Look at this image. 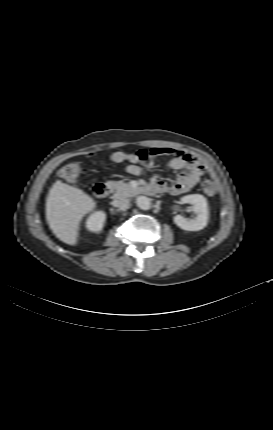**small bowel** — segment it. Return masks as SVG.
<instances>
[{
    "mask_svg": "<svg viewBox=\"0 0 273 430\" xmlns=\"http://www.w3.org/2000/svg\"><path fill=\"white\" fill-rule=\"evenodd\" d=\"M162 156L171 157L168 166L174 170L187 172L180 174L173 184L169 185L156 177L151 179L148 191L152 193H170L179 195L190 191L205 173V166L192 154L168 147H155L141 149L135 153L116 151L110 155V160L115 163L128 161L130 164L126 171L133 175L142 173V166L152 167L157 158Z\"/></svg>",
    "mask_w": 273,
    "mask_h": 430,
    "instance_id": "obj_1",
    "label": "small bowel"
}]
</instances>
